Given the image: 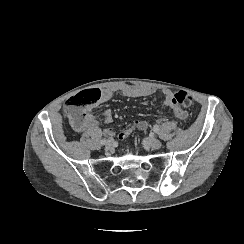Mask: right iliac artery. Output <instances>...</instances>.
I'll return each instance as SVG.
<instances>
[{"label": "right iliac artery", "mask_w": 244, "mask_h": 244, "mask_svg": "<svg viewBox=\"0 0 244 244\" xmlns=\"http://www.w3.org/2000/svg\"><path fill=\"white\" fill-rule=\"evenodd\" d=\"M105 142H106V139H103V140L101 141V145H105Z\"/></svg>", "instance_id": "82829eb1"}]
</instances>
